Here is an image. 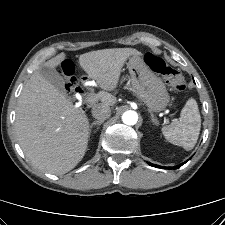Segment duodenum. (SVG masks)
<instances>
[{
  "label": "duodenum",
  "mask_w": 225,
  "mask_h": 225,
  "mask_svg": "<svg viewBox=\"0 0 225 225\" xmlns=\"http://www.w3.org/2000/svg\"><path fill=\"white\" fill-rule=\"evenodd\" d=\"M81 93H82V95H84V94H85V92H84V91H82Z\"/></svg>",
  "instance_id": "410a0bca"
}]
</instances>
